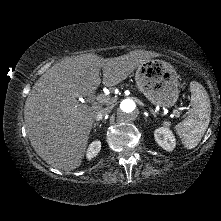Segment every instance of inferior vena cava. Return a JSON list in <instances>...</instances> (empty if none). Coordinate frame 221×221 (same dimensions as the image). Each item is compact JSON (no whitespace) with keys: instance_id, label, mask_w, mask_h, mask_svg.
Masks as SVG:
<instances>
[{"instance_id":"1","label":"inferior vena cava","mask_w":221,"mask_h":221,"mask_svg":"<svg viewBox=\"0 0 221 221\" xmlns=\"http://www.w3.org/2000/svg\"><path fill=\"white\" fill-rule=\"evenodd\" d=\"M111 111L110 107L102 108L96 115L95 119L96 121H100L103 119L104 116H106Z\"/></svg>"}]
</instances>
